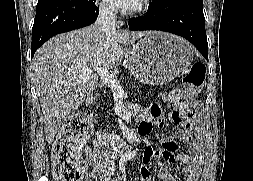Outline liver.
<instances>
[{"instance_id":"obj_1","label":"liver","mask_w":253,"mask_h":181,"mask_svg":"<svg viewBox=\"0 0 253 181\" xmlns=\"http://www.w3.org/2000/svg\"><path fill=\"white\" fill-rule=\"evenodd\" d=\"M145 32L102 31L95 24L57 35L41 46L32 60V82L44 115L46 141L52 143L64 123L92 97L99 74L93 67L116 68L127 45ZM92 69L87 77L84 72Z\"/></svg>"}]
</instances>
